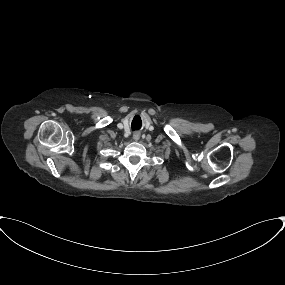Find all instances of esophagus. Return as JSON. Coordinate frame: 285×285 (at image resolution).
<instances>
[{
  "instance_id": "obj_1",
  "label": "esophagus",
  "mask_w": 285,
  "mask_h": 285,
  "mask_svg": "<svg viewBox=\"0 0 285 285\" xmlns=\"http://www.w3.org/2000/svg\"><path fill=\"white\" fill-rule=\"evenodd\" d=\"M139 138H140V133L135 132V133L133 134V139H134L135 141H137V140H139Z\"/></svg>"
}]
</instances>
